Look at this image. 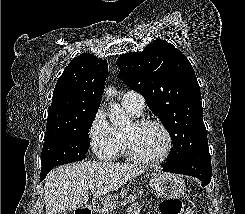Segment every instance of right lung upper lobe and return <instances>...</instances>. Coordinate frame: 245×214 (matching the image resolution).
Instances as JSON below:
<instances>
[{
	"instance_id": "cb5924a9",
	"label": "right lung upper lobe",
	"mask_w": 245,
	"mask_h": 214,
	"mask_svg": "<svg viewBox=\"0 0 245 214\" xmlns=\"http://www.w3.org/2000/svg\"><path fill=\"white\" fill-rule=\"evenodd\" d=\"M107 74L105 59L83 53L71 60L53 91L46 134L73 127L84 114L97 111Z\"/></svg>"
}]
</instances>
